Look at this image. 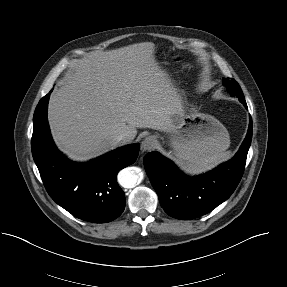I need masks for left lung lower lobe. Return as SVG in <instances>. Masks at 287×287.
<instances>
[{
    "mask_svg": "<svg viewBox=\"0 0 287 287\" xmlns=\"http://www.w3.org/2000/svg\"><path fill=\"white\" fill-rule=\"evenodd\" d=\"M240 101L247 107L245 99ZM251 139L250 117L246 138L236 155L213 171L198 177L184 175L158 152H149L144 158L145 170L164 211L171 217L189 220L207 214L227 200L242 177Z\"/></svg>",
    "mask_w": 287,
    "mask_h": 287,
    "instance_id": "0a47b994",
    "label": "left lung lower lobe"
}]
</instances>
